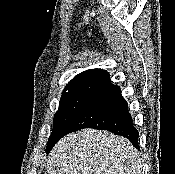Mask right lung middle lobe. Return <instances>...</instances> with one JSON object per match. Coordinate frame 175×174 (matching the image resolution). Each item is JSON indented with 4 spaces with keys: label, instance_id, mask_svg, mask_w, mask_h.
<instances>
[{
    "label": "right lung middle lobe",
    "instance_id": "obj_1",
    "mask_svg": "<svg viewBox=\"0 0 175 174\" xmlns=\"http://www.w3.org/2000/svg\"><path fill=\"white\" fill-rule=\"evenodd\" d=\"M89 93L62 95L59 108L53 120V129L47 147L58 142L67 129L70 121L87 99Z\"/></svg>",
    "mask_w": 175,
    "mask_h": 174
}]
</instances>
